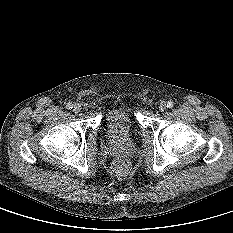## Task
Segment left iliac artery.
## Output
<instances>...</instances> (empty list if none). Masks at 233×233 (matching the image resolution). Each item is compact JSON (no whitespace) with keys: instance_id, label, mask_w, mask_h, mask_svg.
<instances>
[{"instance_id":"left-iliac-artery-1","label":"left iliac artery","mask_w":233,"mask_h":233,"mask_svg":"<svg viewBox=\"0 0 233 233\" xmlns=\"http://www.w3.org/2000/svg\"><path fill=\"white\" fill-rule=\"evenodd\" d=\"M174 106V103L172 101L167 102V107L172 108Z\"/></svg>"}]
</instances>
